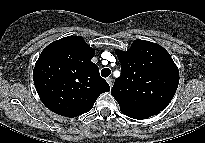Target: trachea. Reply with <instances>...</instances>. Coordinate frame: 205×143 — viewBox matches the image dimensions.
I'll return each mask as SVG.
<instances>
[{
    "label": "trachea",
    "instance_id": "obj_1",
    "mask_svg": "<svg viewBox=\"0 0 205 143\" xmlns=\"http://www.w3.org/2000/svg\"><path fill=\"white\" fill-rule=\"evenodd\" d=\"M110 73H111V70L109 68H103L101 70V75L105 78L108 77L110 75Z\"/></svg>",
    "mask_w": 205,
    "mask_h": 143
}]
</instances>
